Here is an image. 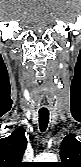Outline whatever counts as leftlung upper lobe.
Returning <instances> with one entry per match:
<instances>
[{"mask_svg": "<svg viewBox=\"0 0 81 167\" xmlns=\"http://www.w3.org/2000/svg\"><path fill=\"white\" fill-rule=\"evenodd\" d=\"M61 162L55 167H81V142L72 134L65 136L60 145Z\"/></svg>", "mask_w": 81, "mask_h": 167, "instance_id": "5c2ea615", "label": "left lung upper lobe"}]
</instances>
